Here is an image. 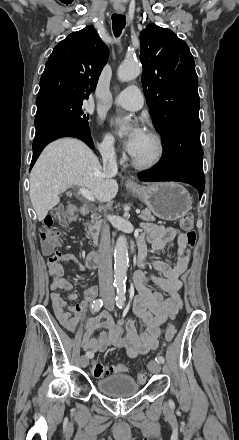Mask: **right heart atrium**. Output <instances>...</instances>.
Wrapping results in <instances>:
<instances>
[{"instance_id": "obj_1", "label": "right heart atrium", "mask_w": 239, "mask_h": 440, "mask_svg": "<svg viewBox=\"0 0 239 440\" xmlns=\"http://www.w3.org/2000/svg\"><path fill=\"white\" fill-rule=\"evenodd\" d=\"M100 152L103 156L111 158L116 155V146L110 136H105L99 144Z\"/></svg>"}]
</instances>
